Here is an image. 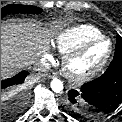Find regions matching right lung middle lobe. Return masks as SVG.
<instances>
[{"label": "right lung middle lobe", "instance_id": "1", "mask_svg": "<svg viewBox=\"0 0 122 122\" xmlns=\"http://www.w3.org/2000/svg\"><path fill=\"white\" fill-rule=\"evenodd\" d=\"M41 12L42 9L38 7L29 6V5L11 4L1 8V18L11 13L40 14Z\"/></svg>", "mask_w": 122, "mask_h": 122}]
</instances>
